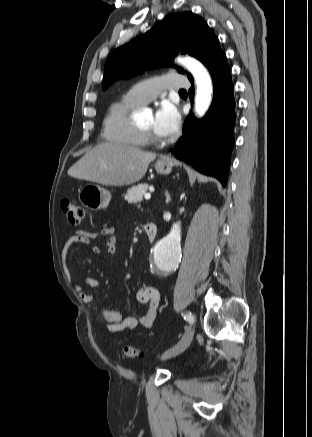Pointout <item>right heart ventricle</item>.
Masks as SVG:
<instances>
[{"mask_svg": "<svg viewBox=\"0 0 312 437\" xmlns=\"http://www.w3.org/2000/svg\"><path fill=\"white\" fill-rule=\"evenodd\" d=\"M141 106V104L130 100L127 95L113 103L104 118V138L117 145L144 146L146 139L132 120V112Z\"/></svg>", "mask_w": 312, "mask_h": 437, "instance_id": "1", "label": "right heart ventricle"}]
</instances>
